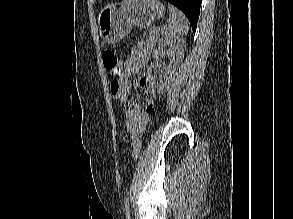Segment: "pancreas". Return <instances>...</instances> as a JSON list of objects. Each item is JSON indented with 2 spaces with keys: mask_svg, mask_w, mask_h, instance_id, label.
Segmentation results:
<instances>
[{
  "mask_svg": "<svg viewBox=\"0 0 293 219\" xmlns=\"http://www.w3.org/2000/svg\"><path fill=\"white\" fill-rule=\"evenodd\" d=\"M147 35H148L149 41L152 44H155L159 36V30L155 27H151L148 29Z\"/></svg>",
  "mask_w": 293,
  "mask_h": 219,
  "instance_id": "1",
  "label": "pancreas"
}]
</instances>
